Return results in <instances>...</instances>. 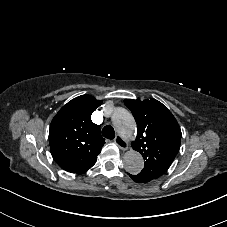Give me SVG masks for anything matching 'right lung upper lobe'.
<instances>
[{
    "instance_id": "1",
    "label": "right lung upper lobe",
    "mask_w": 227,
    "mask_h": 227,
    "mask_svg": "<svg viewBox=\"0 0 227 227\" xmlns=\"http://www.w3.org/2000/svg\"><path fill=\"white\" fill-rule=\"evenodd\" d=\"M102 104L91 95H82L64 105L49 130L50 151L64 170L82 174L91 168L105 143L91 114Z\"/></svg>"
}]
</instances>
